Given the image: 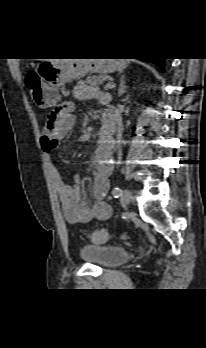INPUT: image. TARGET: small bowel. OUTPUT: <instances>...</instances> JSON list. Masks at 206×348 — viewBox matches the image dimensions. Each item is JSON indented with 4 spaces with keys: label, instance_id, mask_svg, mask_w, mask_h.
I'll return each instance as SVG.
<instances>
[{
    "label": "small bowel",
    "instance_id": "small-bowel-1",
    "mask_svg": "<svg viewBox=\"0 0 206 348\" xmlns=\"http://www.w3.org/2000/svg\"><path fill=\"white\" fill-rule=\"evenodd\" d=\"M74 93L81 100L98 99L103 104L110 100L107 93L87 85L76 86ZM73 111L74 103L67 101L49 114L40 146L45 153L46 164L60 198L66 221L70 224H82L94 220H107L112 214L110 205L105 201L109 188V176L114 166L112 151L105 147H98L87 169V173L93 176L92 202L83 201L79 185L80 178L76 177L71 185L66 184L50 157V154L58 148L60 140L74 128L76 119L72 114Z\"/></svg>",
    "mask_w": 206,
    "mask_h": 348
}]
</instances>
